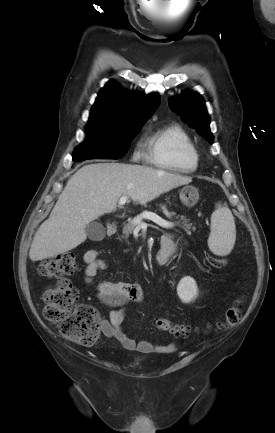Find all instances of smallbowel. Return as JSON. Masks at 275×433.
Segmentation results:
<instances>
[{
  "label": "small bowel",
  "mask_w": 275,
  "mask_h": 433,
  "mask_svg": "<svg viewBox=\"0 0 275 433\" xmlns=\"http://www.w3.org/2000/svg\"><path fill=\"white\" fill-rule=\"evenodd\" d=\"M161 244H166L170 247L168 253V261L173 256L177 246L173 240V236L165 234L161 238ZM85 263V280L87 283H92L96 274L103 270L106 266L105 261L100 258V254L96 249L87 250L83 255ZM96 294L99 301L107 307L121 306L128 302H141L143 300V287L138 283L124 281H101L95 285ZM125 312L112 311L108 318L101 320L102 332L106 337L114 338L119 341L127 350H136L142 353H165L172 352L177 349L176 343L168 345H157L150 341L142 340L135 341L129 338L123 329Z\"/></svg>",
  "instance_id": "obj_1"
}]
</instances>
